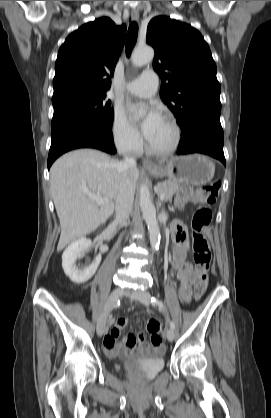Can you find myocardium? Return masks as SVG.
I'll return each mask as SVG.
<instances>
[{"instance_id": "obj_1", "label": "myocardium", "mask_w": 271, "mask_h": 418, "mask_svg": "<svg viewBox=\"0 0 271 418\" xmlns=\"http://www.w3.org/2000/svg\"><path fill=\"white\" fill-rule=\"evenodd\" d=\"M164 119L171 125V127L173 129V132H174V139H173L172 143L167 148H164V149L155 148L148 141V143H147L148 151L151 154L156 155V156H167V155L172 154L173 152L176 151V149L178 148V146L181 142V128H180L179 124L177 123V121L169 115H166L164 117Z\"/></svg>"}]
</instances>
